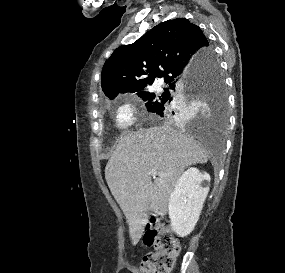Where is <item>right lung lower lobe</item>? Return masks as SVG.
<instances>
[{"mask_svg": "<svg viewBox=\"0 0 285 273\" xmlns=\"http://www.w3.org/2000/svg\"><path fill=\"white\" fill-rule=\"evenodd\" d=\"M207 64H208V61L205 56L191 70H189L183 75H179L172 82H170L169 83L170 88L185 90L191 87L193 84L194 77L196 75L201 74L207 67ZM164 111H165V107L161 105L155 113L162 117H166L164 115Z\"/></svg>", "mask_w": 285, "mask_h": 273, "instance_id": "98d812e1", "label": "right lung lower lobe"}]
</instances>
